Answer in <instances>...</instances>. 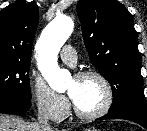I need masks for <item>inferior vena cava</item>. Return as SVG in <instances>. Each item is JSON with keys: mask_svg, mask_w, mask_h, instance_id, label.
<instances>
[{"mask_svg": "<svg viewBox=\"0 0 147 131\" xmlns=\"http://www.w3.org/2000/svg\"><path fill=\"white\" fill-rule=\"evenodd\" d=\"M38 122L44 130L50 126L48 109L44 105L38 107Z\"/></svg>", "mask_w": 147, "mask_h": 131, "instance_id": "1", "label": "inferior vena cava"}]
</instances>
